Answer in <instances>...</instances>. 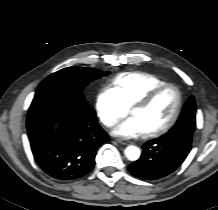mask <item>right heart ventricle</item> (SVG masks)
Masks as SVG:
<instances>
[{"label":"right heart ventricle","mask_w":218,"mask_h":210,"mask_svg":"<svg viewBox=\"0 0 218 210\" xmlns=\"http://www.w3.org/2000/svg\"><path fill=\"white\" fill-rule=\"evenodd\" d=\"M164 83H166L164 80L150 73L125 72L112 79L111 88L130 108L146 93Z\"/></svg>","instance_id":"right-heart-ventricle-1"}]
</instances>
